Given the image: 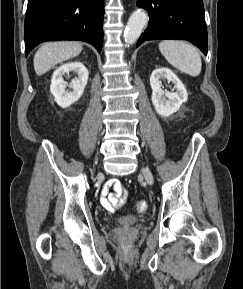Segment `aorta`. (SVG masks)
Segmentation results:
<instances>
[{"label":"aorta","mask_w":243,"mask_h":289,"mask_svg":"<svg viewBox=\"0 0 243 289\" xmlns=\"http://www.w3.org/2000/svg\"><path fill=\"white\" fill-rule=\"evenodd\" d=\"M148 23V15L146 12L137 10L130 16L125 32L124 39L128 45H131L137 41L140 37L143 28Z\"/></svg>","instance_id":"aorta-1"}]
</instances>
